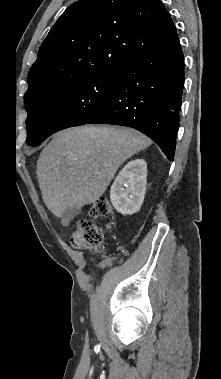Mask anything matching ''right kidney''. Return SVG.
<instances>
[{
	"label": "right kidney",
	"mask_w": 221,
	"mask_h": 379,
	"mask_svg": "<svg viewBox=\"0 0 221 379\" xmlns=\"http://www.w3.org/2000/svg\"><path fill=\"white\" fill-rule=\"evenodd\" d=\"M147 164L143 159L128 162L114 180L110 200L123 215L139 211L146 191Z\"/></svg>",
	"instance_id": "ca27d5eb"
}]
</instances>
